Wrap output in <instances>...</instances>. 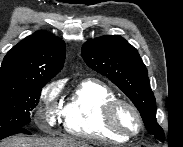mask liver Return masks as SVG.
Returning a JSON list of instances; mask_svg holds the SVG:
<instances>
[{
  "label": "liver",
  "instance_id": "obj_1",
  "mask_svg": "<svg viewBox=\"0 0 183 147\" xmlns=\"http://www.w3.org/2000/svg\"><path fill=\"white\" fill-rule=\"evenodd\" d=\"M0 147H91V145L74 137L53 139L16 136L3 141Z\"/></svg>",
  "mask_w": 183,
  "mask_h": 147
}]
</instances>
